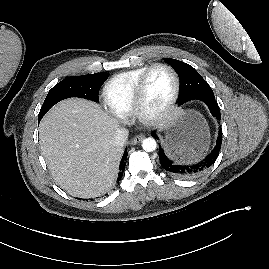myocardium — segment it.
Instances as JSON below:
<instances>
[{
    "instance_id": "1",
    "label": "myocardium",
    "mask_w": 269,
    "mask_h": 269,
    "mask_svg": "<svg viewBox=\"0 0 269 269\" xmlns=\"http://www.w3.org/2000/svg\"><path fill=\"white\" fill-rule=\"evenodd\" d=\"M156 68L167 69L174 81L172 94L165 106L156 112H149L145 107V87L150 73ZM180 93V78L175 69L166 63H154L150 65L140 77L133 97V114L144 124H153L165 119L173 110Z\"/></svg>"
}]
</instances>
